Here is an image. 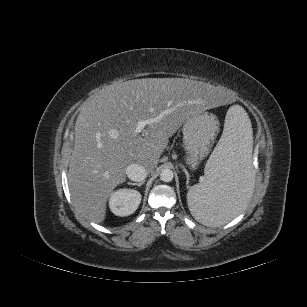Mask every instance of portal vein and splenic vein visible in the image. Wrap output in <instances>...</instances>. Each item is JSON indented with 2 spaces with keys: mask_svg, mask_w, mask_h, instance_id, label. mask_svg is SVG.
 <instances>
[{
  "mask_svg": "<svg viewBox=\"0 0 307 307\" xmlns=\"http://www.w3.org/2000/svg\"><path fill=\"white\" fill-rule=\"evenodd\" d=\"M154 120L149 119V120H140L138 121L135 129V133L139 134L142 130H144L145 126L148 124L153 123Z\"/></svg>",
  "mask_w": 307,
  "mask_h": 307,
  "instance_id": "portal-vein-and-splenic-vein-1",
  "label": "portal vein and splenic vein"
}]
</instances>
